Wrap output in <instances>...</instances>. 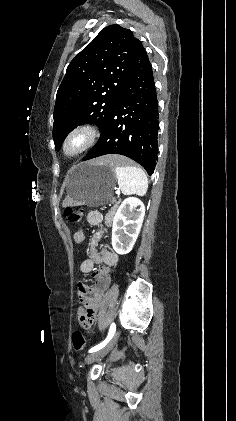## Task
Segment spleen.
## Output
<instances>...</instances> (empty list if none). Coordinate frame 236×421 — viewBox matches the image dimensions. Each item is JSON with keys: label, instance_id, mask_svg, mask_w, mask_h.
Masks as SVG:
<instances>
[{"label": "spleen", "instance_id": "3e777b00", "mask_svg": "<svg viewBox=\"0 0 236 421\" xmlns=\"http://www.w3.org/2000/svg\"><path fill=\"white\" fill-rule=\"evenodd\" d=\"M127 162H117L116 176L118 184L123 194H146L148 188V178L140 166H124Z\"/></svg>", "mask_w": 236, "mask_h": 421}]
</instances>
